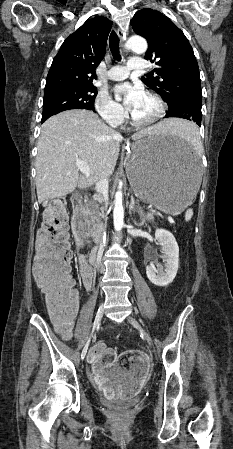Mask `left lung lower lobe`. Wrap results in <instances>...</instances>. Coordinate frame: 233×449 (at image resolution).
Returning a JSON list of instances; mask_svg holds the SVG:
<instances>
[{
  "label": "left lung lower lobe",
  "instance_id": "0a47b994",
  "mask_svg": "<svg viewBox=\"0 0 233 449\" xmlns=\"http://www.w3.org/2000/svg\"><path fill=\"white\" fill-rule=\"evenodd\" d=\"M191 114H194L193 117H190ZM168 117H178V118H184L187 120H192L200 126L202 113L199 111H194V110L177 109L172 112L167 111L165 118H168Z\"/></svg>",
  "mask_w": 233,
  "mask_h": 449
}]
</instances>
